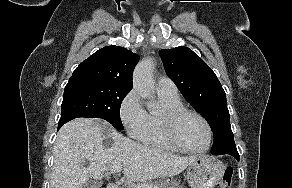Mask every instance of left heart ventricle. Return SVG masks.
Instances as JSON below:
<instances>
[{
  "label": "left heart ventricle",
  "mask_w": 292,
  "mask_h": 188,
  "mask_svg": "<svg viewBox=\"0 0 292 188\" xmlns=\"http://www.w3.org/2000/svg\"><path fill=\"white\" fill-rule=\"evenodd\" d=\"M180 141L189 149L199 150L206 146L208 136L203 122L194 115L184 116L178 123Z\"/></svg>",
  "instance_id": "b2bd125f"
}]
</instances>
